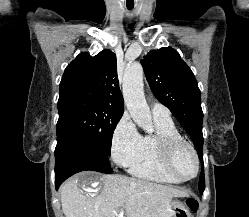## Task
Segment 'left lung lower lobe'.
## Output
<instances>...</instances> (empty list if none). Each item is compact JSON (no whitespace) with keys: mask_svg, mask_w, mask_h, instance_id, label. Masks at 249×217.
Instances as JSON below:
<instances>
[{"mask_svg":"<svg viewBox=\"0 0 249 217\" xmlns=\"http://www.w3.org/2000/svg\"><path fill=\"white\" fill-rule=\"evenodd\" d=\"M201 183H205V180H204V171L202 170L201 171V174H200V180H199ZM205 185V184H204ZM205 187V186H204ZM204 191V190H203ZM203 191H201L200 193L202 194Z\"/></svg>","mask_w":249,"mask_h":217,"instance_id":"left-lung-lower-lobe-1","label":"left lung lower lobe"}]
</instances>
